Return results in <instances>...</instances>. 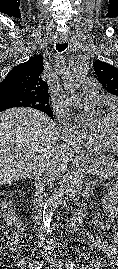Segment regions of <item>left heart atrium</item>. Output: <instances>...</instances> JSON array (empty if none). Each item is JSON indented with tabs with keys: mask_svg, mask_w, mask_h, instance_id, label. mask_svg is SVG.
I'll list each match as a JSON object with an SVG mask.
<instances>
[{
	"mask_svg": "<svg viewBox=\"0 0 118 269\" xmlns=\"http://www.w3.org/2000/svg\"><path fill=\"white\" fill-rule=\"evenodd\" d=\"M78 120H79V122H84L85 121L84 115H82V114L78 115Z\"/></svg>",
	"mask_w": 118,
	"mask_h": 269,
	"instance_id": "left-heart-atrium-1",
	"label": "left heart atrium"
}]
</instances>
